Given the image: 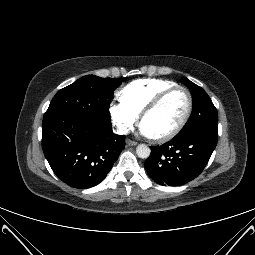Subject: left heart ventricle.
<instances>
[{"label":"left heart ventricle","mask_w":255,"mask_h":255,"mask_svg":"<svg viewBox=\"0 0 255 255\" xmlns=\"http://www.w3.org/2000/svg\"><path fill=\"white\" fill-rule=\"evenodd\" d=\"M187 104L185 92L175 91L145 118L143 124L153 137L164 135L179 124L186 112Z\"/></svg>","instance_id":"left-heart-ventricle-1"}]
</instances>
